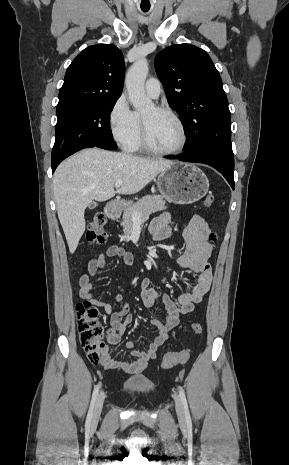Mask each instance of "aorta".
Segmentation results:
<instances>
[{"label":"aorta","mask_w":289,"mask_h":465,"mask_svg":"<svg viewBox=\"0 0 289 465\" xmlns=\"http://www.w3.org/2000/svg\"><path fill=\"white\" fill-rule=\"evenodd\" d=\"M148 71L147 60L139 59L130 67L125 79L129 101L139 111L153 107L151 99L146 96L144 87Z\"/></svg>","instance_id":"obj_1"}]
</instances>
